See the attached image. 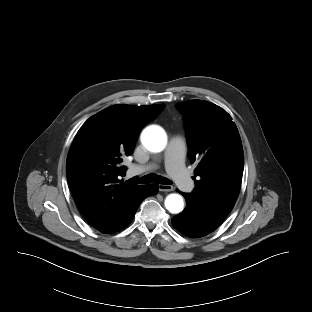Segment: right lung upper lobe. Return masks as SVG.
Wrapping results in <instances>:
<instances>
[{
  "label": "right lung upper lobe",
  "instance_id": "cb5924a9",
  "mask_svg": "<svg viewBox=\"0 0 312 312\" xmlns=\"http://www.w3.org/2000/svg\"><path fill=\"white\" fill-rule=\"evenodd\" d=\"M165 105H113L90 117L76 134L66 161L74 200L97 230L115 223L143 185L123 182V159L132 154L144 125Z\"/></svg>",
  "mask_w": 312,
  "mask_h": 312
}]
</instances>
